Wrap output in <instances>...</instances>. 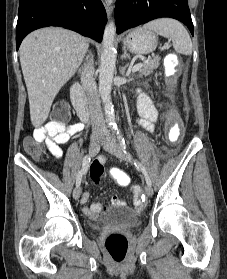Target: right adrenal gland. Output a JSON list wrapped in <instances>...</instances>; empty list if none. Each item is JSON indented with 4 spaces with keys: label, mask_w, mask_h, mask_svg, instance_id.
<instances>
[{
    "label": "right adrenal gland",
    "mask_w": 227,
    "mask_h": 279,
    "mask_svg": "<svg viewBox=\"0 0 227 279\" xmlns=\"http://www.w3.org/2000/svg\"><path fill=\"white\" fill-rule=\"evenodd\" d=\"M88 58H89V59H91V58H92V54H91V52H88V55H87L86 60H87ZM84 65H85V64H84ZM82 69H83V66H82V67H80V68L78 69V73H79V74L81 73Z\"/></svg>",
    "instance_id": "2a0ac1e0"
}]
</instances>
